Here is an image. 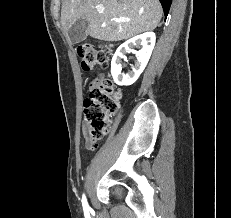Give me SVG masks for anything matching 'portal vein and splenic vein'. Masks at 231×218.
Segmentation results:
<instances>
[{
  "mask_svg": "<svg viewBox=\"0 0 231 218\" xmlns=\"http://www.w3.org/2000/svg\"><path fill=\"white\" fill-rule=\"evenodd\" d=\"M96 9L99 12H103L104 11V7L101 6V5L96 6ZM112 21L119 23V22H128L130 20L128 18H113Z\"/></svg>",
  "mask_w": 231,
  "mask_h": 218,
  "instance_id": "1",
  "label": "portal vein and splenic vein"
}]
</instances>
